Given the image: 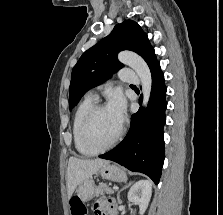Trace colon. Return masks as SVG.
I'll list each match as a JSON object with an SVG mask.
<instances>
[{
	"instance_id": "colon-1",
	"label": "colon",
	"mask_w": 223,
	"mask_h": 215,
	"mask_svg": "<svg viewBox=\"0 0 223 215\" xmlns=\"http://www.w3.org/2000/svg\"><path fill=\"white\" fill-rule=\"evenodd\" d=\"M71 214L72 215H86L85 205L77 197L72 198L71 200Z\"/></svg>"
}]
</instances>
